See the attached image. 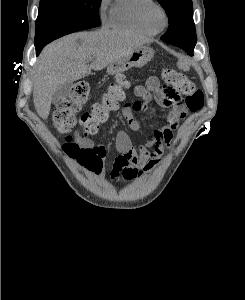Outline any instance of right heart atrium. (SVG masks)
Masks as SVG:
<instances>
[{
  "instance_id": "1",
  "label": "right heart atrium",
  "mask_w": 245,
  "mask_h": 300,
  "mask_svg": "<svg viewBox=\"0 0 245 300\" xmlns=\"http://www.w3.org/2000/svg\"><path fill=\"white\" fill-rule=\"evenodd\" d=\"M111 0H100L98 5V13L102 21L106 19V11L110 6Z\"/></svg>"
}]
</instances>
